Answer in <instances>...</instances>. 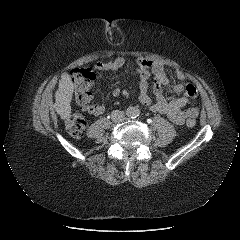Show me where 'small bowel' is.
I'll return each mask as SVG.
<instances>
[{"label": "small bowel", "instance_id": "small-bowel-1", "mask_svg": "<svg viewBox=\"0 0 240 240\" xmlns=\"http://www.w3.org/2000/svg\"><path fill=\"white\" fill-rule=\"evenodd\" d=\"M125 64L123 57L115 58L106 63H97L96 69L101 73L105 71H116ZM136 70L139 74V101L150 111L166 115L173 123L181 125L188 118L198 116V107L196 105L197 90L196 87L186 82L185 74L175 71V76L180 80L179 84L172 87L175 93L185 92V96L168 100L162 92V86L169 84L171 71L161 62L156 60L138 58ZM155 76L153 95L148 93V79ZM120 90L114 89L112 95L119 96ZM104 106L100 103L93 104L88 108V112L93 116H99L104 113Z\"/></svg>", "mask_w": 240, "mask_h": 240}]
</instances>
